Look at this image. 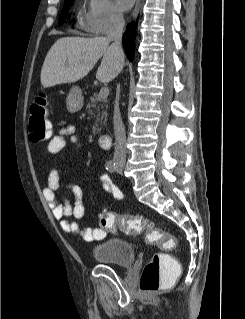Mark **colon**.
<instances>
[{"instance_id":"obj_1","label":"colon","mask_w":245,"mask_h":319,"mask_svg":"<svg viewBox=\"0 0 245 319\" xmlns=\"http://www.w3.org/2000/svg\"><path fill=\"white\" fill-rule=\"evenodd\" d=\"M48 101L44 95L35 99L30 107L29 137L33 143L45 141L50 135L48 122ZM100 225L105 230L115 233L136 235L144 233L148 242L158 245L165 251H172L177 246L173 236L165 234L154 222L130 214L116 215L113 212H102ZM180 273V266L163 253H156L144 266L140 289L145 293H153L166 286Z\"/></svg>"}]
</instances>
